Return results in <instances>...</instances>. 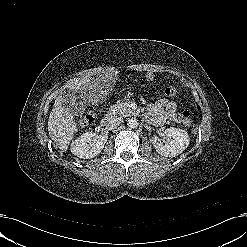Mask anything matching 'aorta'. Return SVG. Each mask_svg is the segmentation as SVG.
I'll return each instance as SVG.
<instances>
[{
  "mask_svg": "<svg viewBox=\"0 0 247 247\" xmlns=\"http://www.w3.org/2000/svg\"><path fill=\"white\" fill-rule=\"evenodd\" d=\"M127 126L130 129H137V127L139 126V122H138V120L136 118H130L127 121Z\"/></svg>",
  "mask_w": 247,
  "mask_h": 247,
  "instance_id": "obj_1",
  "label": "aorta"
}]
</instances>
